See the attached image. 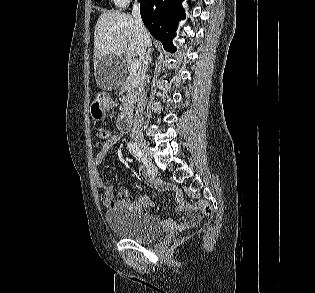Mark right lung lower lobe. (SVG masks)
<instances>
[{"instance_id": "obj_1", "label": "right lung lower lobe", "mask_w": 315, "mask_h": 293, "mask_svg": "<svg viewBox=\"0 0 315 293\" xmlns=\"http://www.w3.org/2000/svg\"><path fill=\"white\" fill-rule=\"evenodd\" d=\"M142 20L154 38L160 40L167 51L174 52L172 44L177 23L185 18L182 0H139ZM132 6V5H130Z\"/></svg>"}]
</instances>
